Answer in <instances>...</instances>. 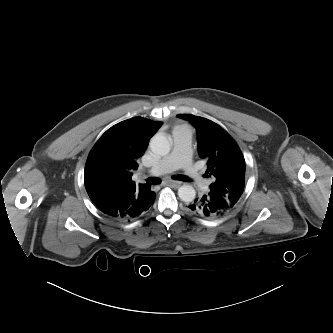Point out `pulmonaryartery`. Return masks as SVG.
Masks as SVG:
<instances>
[{"label":"pulmonary artery","instance_id":"e3ab8cb5","mask_svg":"<svg viewBox=\"0 0 333 333\" xmlns=\"http://www.w3.org/2000/svg\"><path fill=\"white\" fill-rule=\"evenodd\" d=\"M173 149L170 154L154 164L149 172L152 175H162L178 168H182L190 180L201 186L205 180L193 164L191 159L192 132L190 129L181 127L173 130Z\"/></svg>","mask_w":333,"mask_h":333}]
</instances>
